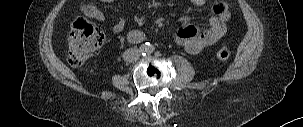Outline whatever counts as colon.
<instances>
[{"instance_id": "5ec220e1", "label": "colon", "mask_w": 303, "mask_h": 127, "mask_svg": "<svg viewBox=\"0 0 303 127\" xmlns=\"http://www.w3.org/2000/svg\"><path fill=\"white\" fill-rule=\"evenodd\" d=\"M88 8L83 6V10ZM104 40L103 33L84 16L77 17L71 27L68 37L69 55L68 62L71 66H80L89 58L97 54ZM228 51L220 48L216 52V58L226 60Z\"/></svg>"}]
</instances>
